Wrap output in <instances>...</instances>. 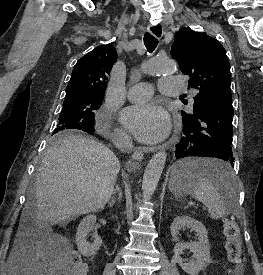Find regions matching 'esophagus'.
<instances>
[{"mask_svg": "<svg viewBox=\"0 0 263 275\" xmlns=\"http://www.w3.org/2000/svg\"><path fill=\"white\" fill-rule=\"evenodd\" d=\"M147 30L156 38L160 39L163 36L164 30H163V26L161 24H157V25H149L147 27ZM156 148L152 147V148H146L143 149L141 147H138L134 150L133 154H132V158L135 161H141L143 159V150L146 151H154Z\"/></svg>", "mask_w": 263, "mask_h": 275, "instance_id": "obj_1", "label": "esophagus"}]
</instances>
